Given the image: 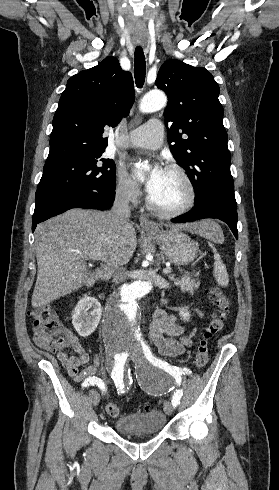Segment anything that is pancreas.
<instances>
[{"mask_svg": "<svg viewBox=\"0 0 279 490\" xmlns=\"http://www.w3.org/2000/svg\"><path fill=\"white\" fill-rule=\"evenodd\" d=\"M182 272V270H181ZM169 280L175 282V286H180L182 292H193L194 288H197L195 280H191L188 274L181 276V278H176V274H167Z\"/></svg>", "mask_w": 279, "mask_h": 490, "instance_id": "obj_1", "label": "pancreas"}]
</instances>
